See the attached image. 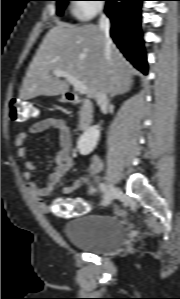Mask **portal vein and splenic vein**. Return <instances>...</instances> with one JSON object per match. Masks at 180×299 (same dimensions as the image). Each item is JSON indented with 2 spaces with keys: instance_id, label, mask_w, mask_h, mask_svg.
<instances>
[{
  "instance_id": "obj_1",
  "label": "portal vein and splenic vein",
  "mask_w": 180,
  "mask_h": 299,
  "mask_svg": "<svg viewBox=\"0 0 180 299\" xmlns=\"http://www.w3.org/2000/svg\"><path fill=\"white\" fill-rule=\"evenodd\" d=\"M53 73L57 77H65L68 80V82L71 85H73L74 90L77 91L78 93H80V94H87L88 93L87 86L83 82L78 80L76 77L71 75L70 73H68L66 71H63V70H59V69H54Z\"/></svg>"
}]
</instances>
